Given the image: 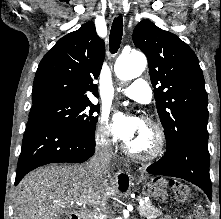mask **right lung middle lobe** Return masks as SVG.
<instances>
[{"label":"right lung middle lobe","mask_w":221,"mask_h":219,"mask_svg":"<svg viewBox=\"0 0 221 219\" xmlns=\"http://www.w3.org/2000/svg\"><path fill=\"white\" fill-rule=\"evenodd\" d=\"M100 107L90 100L49 98L33 102L29 119H41L58 124L80 135L95 138Z\"/></svg>","instance_id":"1"}]
</instances>
